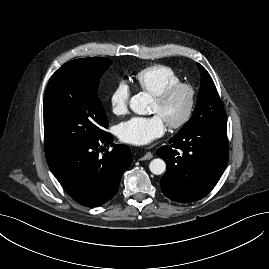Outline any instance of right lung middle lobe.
<instances>
[{
    "mask_svg": "<svg viewBox=\"0 0 269 269\" xmlns=\"http://www.w3.org/2000/svg\"><path fill=\"white\" fill-rule=\"evenodd\" d=\"M111 64L103 57L76 59L53 74L43 108L46 154L105 135L108 119L97 91L101 76Z\"/></svg>",
    "mask_w": 269,
    "mask_h": 269,
    "instance_id": "right-lung-middle-lobe-1",
    "label": "right lung middle lobe"
}]
</instances>
